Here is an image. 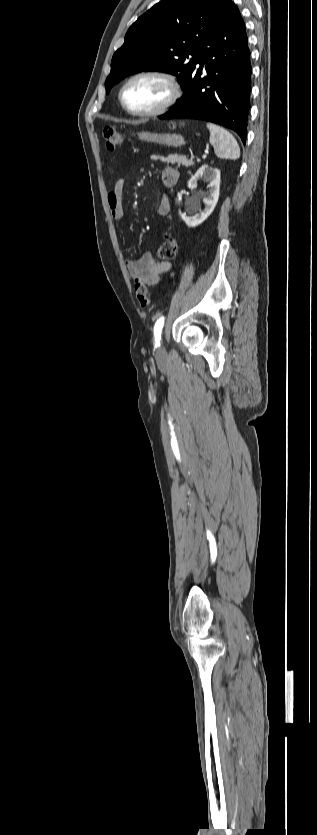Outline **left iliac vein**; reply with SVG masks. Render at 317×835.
I'll return each mask as SVG.
<instances>
[{
	"instance_id": "left-iliac-vein-1",
	"label": "left iliac vein",
	"mask_w": 317,
	"mask_h": 835,
	"mask_svg": "<svg viewBox=\"0 0 317 835\" xmlns=\"http://www.w3.org/2000/svg\"><path fill=\"white\" fill-rule=\"evenodd\" d=\"M164 353H165V348L163 346V341H162V345L156 349V356L160 357Z\"/></svg>"
}]
</instances>
